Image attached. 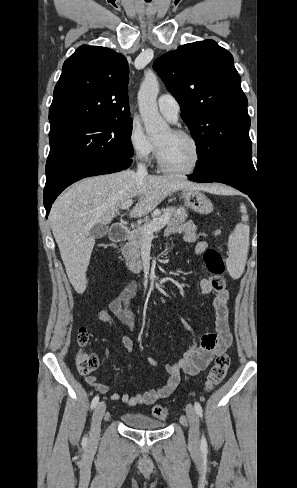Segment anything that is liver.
<instances>
[{"mask_svg": "<svg viewBox=\"0 0 297 488\" xmlns=\"http://www.w3.org/2000/svg\"><path fill=\"white\" fill-rule=\"evenodd\" d=\"M213 190L181 176H139L133 170L84 179L72 185L52 206L49 221L66 273L73 288L82 294L95 238L89 232L95 224H109L121 204L138 198L131 217L152 212L164 198L177 190Z\"/></svg>", "mask_w": 297, "mask_h": 488, "instance_id": "obj_1", "label": "liver"}]
</instances>
